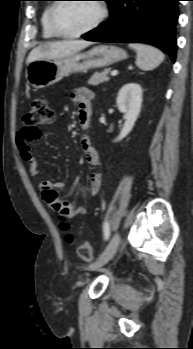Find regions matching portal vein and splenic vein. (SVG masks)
I'll return each instance as SVG.
<instances>
[{"label":"portal vein and splenic vein","instance_id":"18ae733b","mask_svg":"<svg viewBox=\"0 0 193 349\" xmlns=\"http://www.w3.org/2000/svg\"><path fill=\"white\" fill-rule=\"evenodd\" d=\"M118 74V71L117 70H113L112 72H111V75L112 76H115V75H117Z\"/></svg>","mask_w":193,"mask_h":349}]
</instances>
